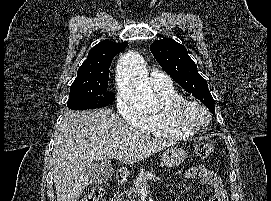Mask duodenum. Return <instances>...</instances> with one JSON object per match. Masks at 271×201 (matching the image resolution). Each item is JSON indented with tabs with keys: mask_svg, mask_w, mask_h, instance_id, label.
Segmentation results:
<instances>
[{
	"mask_svg": "<svg viewBox=\"0 0 271 201\" xmlns=\"http://www.w3.org/2000/svg\"><path fill=\"white\" fill-rule=\"evenodd\" d=\"M115 180L118 184L125 183L127 181L126 173L121 170L117 171L116 176H115Z\"/></svg>",
	"mask_w": 271,
	"mask_h": 201,
	"instance_id": "duodenum-1",
	"label": "duodenum"
}]
</instances>
